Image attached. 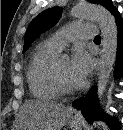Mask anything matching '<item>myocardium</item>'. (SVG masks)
Segmentation results:
<instances>
[{
	"label": "myocardium",
	"mask_w": 123,
	"mask_h": 130,
	"mask_svg": "<svg viewBox=\"0 0 123 130\" xmlns=\"http://www.w3.org/2000/svg\"><path fill=\"white\" fill-rule=\"evenodd\" d=\"M53 79L54 83L56 85V88L58 89L59 93L62 95H73L77 91H79L80 87H70L66 85L63 80L60 78L56 66H53Z\"/></svg>",
	"instance_id": "f54148a6"
}]
</instances>
